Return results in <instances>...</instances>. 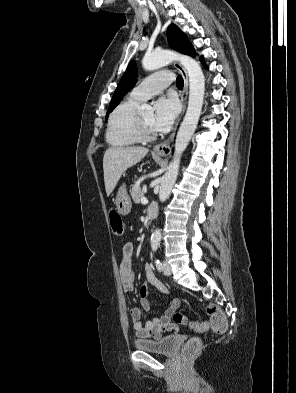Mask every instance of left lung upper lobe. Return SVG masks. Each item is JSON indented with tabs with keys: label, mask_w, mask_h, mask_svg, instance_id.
<instances>
[{
	"label": "left lung upper lobe",
	"mask_w": 296,
	"mask_h": 393,
	"mask_svg": "<svg viewBox=\"0 0 296 393\" xmlns=\"http://www.w3.org/2000/svg\"><path fill=\"white\" fill-rule=\"evenodd\" d=\"M167 38L168 43L172 49L190 56L196 55L195 50L190 44L188 38L182 31H180V29L176 25L171 24L168 27ZM136 76V63L134 61H131L114 92L106 114V118L108 117L109 113L118 105L125 93L135 86Z\"/></svg>",
	"instance_id": "obj_1"
}]
</instances>
